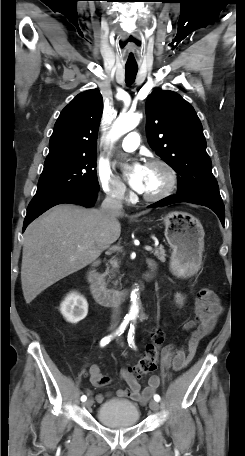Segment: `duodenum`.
Returning <instances> with one entry per match:
<instances>
[{"instance_id": "duodenum-1", "label": "duodenum", "mask_w": 245, "mask_h": 456, "mask_svg": "<svg viewBox=\"0 0 245 456\" xmlns=\"http://www.w3.org/2000/svg\"><path fill=\"white\" fill-rule=\"evenodd\" d=\"M96 265L97 262L92 264L90 268L87 270L86 277L87 281L90 285V290L94 296V298L106 305H114V304H119L123 302L127 296L128 292L127 291H120V290H113L107 288L105 285L103 279L99 275V273L96 270ZM154 264L151 263L152 270L154 269ZM153 274L152 271L146 274V280H150L152 278Z\"/></svg>"}]
</instances>
